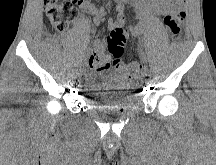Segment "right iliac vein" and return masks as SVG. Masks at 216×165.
I'll return each instance as SVG.
<instances>
[{
	"label": "right iliac vein",
	"mask_w": 216,
	"mask_h": 165,
	"mask_svg": "<svg viewBox=\"0 0 216 165\" xmlns=\"http://www.w3.org/2000/svg\"><path fill=\"white\" fill-rule=\"evenodd\" d=\"M85 72V66H82L81 68H80V74H83Z\"/></svg>",
	"instance_id": "right-iliac-vein-1"
}]
</instances>
